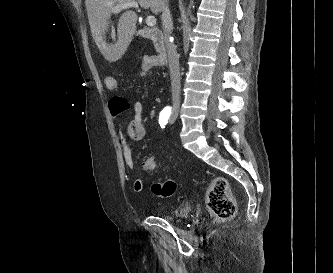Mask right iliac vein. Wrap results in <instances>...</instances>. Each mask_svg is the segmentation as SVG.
Returning <instances> with one entry per match:
<instances>
[{"label": "right iliac vein", "mask_w": 333, "mask_h": 273, "mask_svg": "<svg viewBox=\"0 0 333 273\" xmlns=\"http://www.w3.org/2000/svg\"><path fill=\"white\" fill-rule=\"evenodd\" d=\"M176 113H173L172 115H171V117H174V118H176Z\"/></svg>", "instance_id": "63e3f726"}]
</instances>
